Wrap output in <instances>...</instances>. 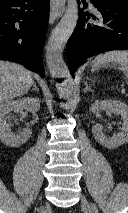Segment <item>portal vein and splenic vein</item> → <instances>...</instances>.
I'll list each match as a JSON object with an SVG mask.
<instances>
[{
    "label": "portal vein and splenic vein",
    "mask_w": 128,
    "mask_h": 213,
    "mask_svg": "<svg viewBox=\"0 0 128 213\" xmlns=\"http://www.w3.org/2000/svg\"><path fill=\"white\" fill-rule=\"evenodd\" d=\"M121 92H122V93H125V89H124V88H122Z\"/></svg>",
    "instance_id": "portal-vein-and-splenic-vein-1"
}]
</instances>
